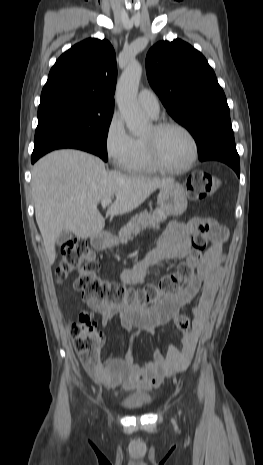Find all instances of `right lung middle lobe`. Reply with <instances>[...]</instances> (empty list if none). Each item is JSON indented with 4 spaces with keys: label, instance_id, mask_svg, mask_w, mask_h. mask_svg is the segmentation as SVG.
<instances>
[{
    "label": "right lung middle lobe",
    "instance_id": "right-lung-middle-lobe-1",
    "mask_svg": "<svg viewBox=\"0 0 263 465\" xmlns=\"http://www.w3.org/2000/svg\"><path fill=\"white\" fill-rule=\"evenodd\" d=\"M113 110V106L69 98L40 103L33 152L62 139H76L107 161L106 140Z\"/></svg>",
    "mask_w": 263,
    "mask_h": 465
}]
</instances>
